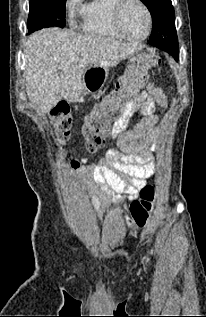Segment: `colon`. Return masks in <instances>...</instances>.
I'll return each instance as SVG.
<instances>
[{
  "label": "colon",
  "mask_w": 206,
  "mask_h": 317,
  "mask_svg": "<svg viewBox=\"0 0 206 317\" xmlns=\"http://www.w3.org/2000/svg\"><path fill=\"white\" fill-rule=\"evenodd\" d=\"M159 60L154 55H145L126 69L118 80L114 90L106 96L94 110L88 114L83 124V135L87 149L96 151L101 148L114 125L123 116L129 102L139 93L148 81V70L155 67ZM58 138L63 141L70 135L72 117L67 104H59L52 110ZM71 165L78 167L79 161L72 160ZM155 197L153 186H145L140 193V199L130 206L128 223L143 227L150 216Z\"/></svg>",
  "instance_id": "5ec220e1"
}]
</instances>
